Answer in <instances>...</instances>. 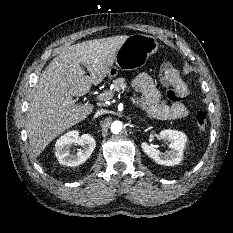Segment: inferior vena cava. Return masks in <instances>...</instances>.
<instances>
[{"label":"inferior vena cava","mask_w":233,"mask_h":233,"mask_svg":"<svg viewBox=\"0 0 233 233\" xmlns=\"http://www.w3.org/2000/svg\"><path fill=\"white\" fill-rule=\"evenodd\" d=\"M106 112H107L106 110L100 109V110L97 111L96 116L102 115V114H104V113H106Z\"/></svg>","instance_id":"inferior-vena-cava-1"}]
</instances>
